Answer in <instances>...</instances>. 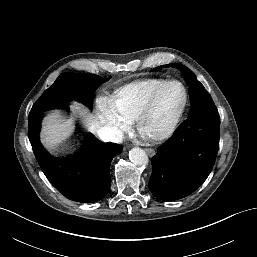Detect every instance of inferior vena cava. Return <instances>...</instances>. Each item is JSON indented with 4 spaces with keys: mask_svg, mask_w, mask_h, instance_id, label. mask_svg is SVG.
<instances>
[{
    "mask_svg": "<svg viewBox=\"0 0 257 257\" xmlns=\"http://www.w3.org/2000/svg\"><path fill=\"white\" fill-rule=\"evenodd\" d=\"M111 138L114 141L120 142V141H122L123 133L120 130H115V131L111 132Z\"/></svg>",
    "mask_w": 257,
    "mask_h": 257,
    "instance_id": "obj_1",
    "label": "inferior vena cava"
}]
</instances>
